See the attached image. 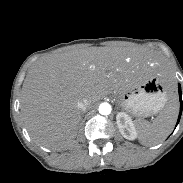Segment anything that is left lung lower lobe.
Listing matches in <instances>:
<instances>
[{
	"mask_svg": "<svg viewBox=\"0 0 183 183\" xmlns=\"http://www.w3.org/2000/svg\"><path fill=\"white\" fill-rule=\"evenodd\" d=\"M178 87H179V97H180V113H179L177 124L179 123V120H180V117H181V114H182V109H183V102H182V98H181V86H180V84L178 85ZM177 124H176V126H177Z\"/></svg>",
	"mask_w": 183,
	"mask_h": 183,
	"instance_id": "0a47b994",
	"label": "left lung lower lobe"
}]
</instances>
